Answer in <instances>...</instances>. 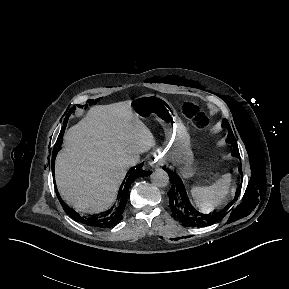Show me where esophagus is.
<instances>
[{"instance_id": "esophagus-1", "label": "esophagus", "mask_w": 289, "mask_h": 289, "mask_svg": "<svg viewBox=\"0 0 289 289\" xmlns=\"http://www.w3.org/2000/svg\"><path fill=\"white\" fill-rule=\"evenodd\" d=\"M148 163L153 167H158L161 165V163L158 161V159L153 158V157L149 159Z\"/></svg>"}]
</instances>
